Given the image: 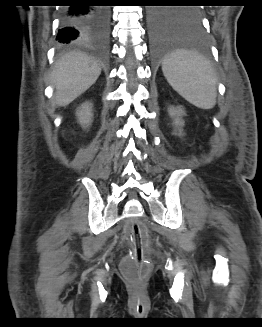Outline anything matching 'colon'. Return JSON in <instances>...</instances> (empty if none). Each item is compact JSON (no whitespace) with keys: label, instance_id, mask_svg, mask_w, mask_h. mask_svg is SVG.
Wrapping results in <instances>:
<instances>
[{"label":"colon","instance_id":"1","mask_svg":"<svg viewBox=\"0 0 262 327\" xmlns=\"http://www.w3.org/2000/svg\"><path fill=\"white\" fill-rule=\"evenodd\" d=\"M126 235L133 244V254L124 260L122 271L134 286L140 288L149 271V262L144 255L148 242L147 231L140 222L133 221L128 226Z\"/></svg>","mask_w":262,"mask_h":327}]
</instances>
